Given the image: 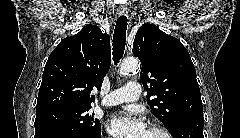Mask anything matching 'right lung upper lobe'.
<instances>
[{
	"label": "right lung upper lobe",
	"mask_w": 240,
	"mask_h": 138,
	"mask_svg": "<svg viewBox=\"0 0 240 138\" xmlns=\"http://www.w3.org/2000/svg\"><path fill=\"white\" fill-rule=\"evenodd\" d=\"M111 65L110 37L96 25L64 38L51 52L39 89L36 115L64 108L91 107Z\"/></svg>",
	"instance_id": "cb5924a9"
}]
</instances>
